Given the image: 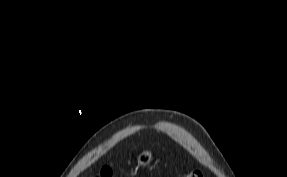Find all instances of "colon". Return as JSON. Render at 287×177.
Masks as SVG:
<instances>
[{"mask_svg":"<svg viewBox=\"0 0 287 177\" xmlns=\"http://www.w3.org/2000/svg\"><path fill=\"white\" fill-rule=\"evenodd\" d=\"M112 170L110 168H102L96 174L91 177H111ZM183 177H203V174L200 170H191L186 173Z\"/></svg>","mask_w":287,"mask_h":177,"instance_id":"5ec220e1","label":"colon"}]
</instances>
